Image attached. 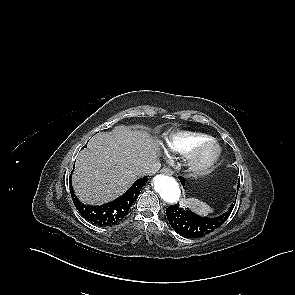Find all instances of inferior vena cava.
<instances>
[{
	"label": "inferior vena cava",
	"instance_id": "obj_1",
	"mask_svg": "<svg viewBox=\"0 0 295 295\" xmlns=\"http://www.w3.org/2000/svg\"><path fill=\"white\" fill-rule=\"evenodd\" d=\"M161 167L159 162L147 165L140 170V175H154Z\"/></svg>",
	"mask_w": 295,
	"mask_h": 295
}]
</instances>
